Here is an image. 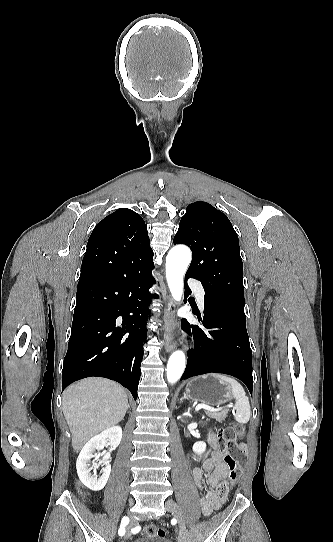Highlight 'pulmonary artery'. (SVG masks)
Returning <instances> with one entry per match:
<instances>
[{
    "instance_id": "obj_1",
    "label": "pulmonary artery",
    "mask_w": 333,
    "mask_h": 542,
    "mask_svg": "<svg viewBox=\"0 0 333 542\" xmlns=\"http://www.w3.org/2000/svg\"><path fill=\"white\" fill-rule=\"evenodd\" d=\"M192 290H193V293L195 296H197V301L200 305L201 308H203V302H204V299H203V293H204V290L201 286V283L200 282H193L192 283Z\"/></svg>"
}]
</instances>
